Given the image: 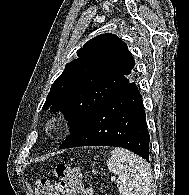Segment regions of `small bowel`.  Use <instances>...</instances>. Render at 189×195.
I'll list each match as a JSON object with an SVG mask.
<instances>
[{
	"label": "small bowel",
	"instance_id": "small-bowel-1",
	"mask_svg": "<svg viewBox=\"0 0 189 195\" xmlns=\"http://www.w3.org/2000/svg\"><path fill=\"white\" fill-rule=\"evenodd\" d=\"M83 195H96V189L94 187H85Z\"/></svg>",
	"mask_w": 189,
	"mask_h": 195
}]
</instances>
